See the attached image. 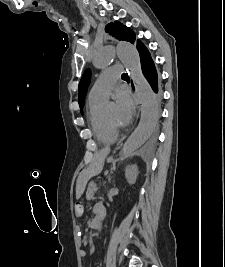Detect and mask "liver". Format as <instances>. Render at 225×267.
I'll return each instance as SVG.
<instances>
[{
  "instance_id": "obj_1",
  "label": "liver",
  "mask_w": 225,
  "mask_h": 267,
  "mask_svg": "<svg viewBox=\"0 0 225 267\" xmlns=\"http://www.w3.org/2000/svg\"><path fill=\"white\" fill-rule=\"evenodd\" d=\"M108 151L103 150L101 152H98L95 154L93 162L88 170L89 175L93 176V175H97L99 174L102 169H103V165H104V160L105 157L107 156ZM83 190H81L79 193H77V198H79L82 194Z\"/></svg>"
}]
</instances>
